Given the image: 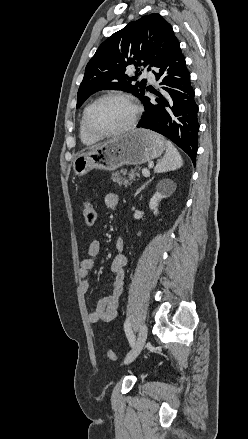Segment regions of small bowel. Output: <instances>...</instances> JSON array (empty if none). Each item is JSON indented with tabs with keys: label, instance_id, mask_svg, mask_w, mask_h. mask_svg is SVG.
I'll return each mask as SVG.
<instances>
[{
	"label": "small bowel",
	"instance_id": "small-bowel-1",
	"mask_svg": "<svg viewBox=\"0 0 248 439\" xmlns=\"http://www.w3.org/2000/svg\"><path fill=\"white\" fill-rule=\"evenodd\" d=\"M119 203V197L114 192H109L105 196V204L108 208L114 209ZM118 254L111 262V273L114 276L112 282V291L109 295L101 298L95 308L89 314V320L92 323H109L116 316L119 307L120 296L124 289L125 267L128 265V258L122 253L123 240L118 238L116 242ZM100 242L93 240L89 243L87 256L84 257L79 265L78 275L80 278V288L83 293H87L90 288L88 275L94 267L95 260L100 252Z\"/></svg>",
	"mask_w": 248,
	"mask_h": 439
}]
</instances>
